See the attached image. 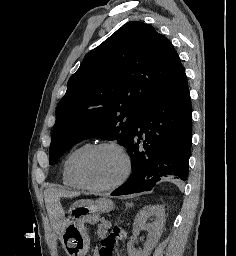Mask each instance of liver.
I'll return each mask as SVG.
<instances>
[{
    "mask_svg": "<svg viewBox=\"0 0 236 256\" xmlns=\"http://www.w3.org/2000/svg\"><path fill=\"white\" fill-rule=\"evenodd\" d=\"M44 196L49 216H56V212L60 208V204H58L57 200V198L61 196L59 190H55V188L45 190ZM66 196H70V198H77L80 194L79 192H66Z\"/></svg>",
    "mask_w": 236,
    "mask_h": 256,
    "instance_id": "1",
    "label": "liver"
}]
</instances>
